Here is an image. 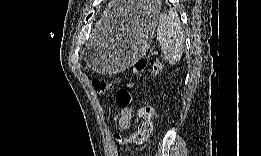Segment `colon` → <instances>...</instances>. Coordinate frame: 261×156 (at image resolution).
<instances>
[{"mask_svg": "<svg viewBox=\"0 0 261 156\" xmlns=\"http://www.w3.org/2000/svg\"><path fill=\"white\" fill-rule=\"evenodd\" d=\"M148 69L152 77L157 76L161 71V64L158 61L149 62L141 60L136 65V72H143ZM92 85L99 94L107 92H115L116 103L121 108H127L132 102L131 90L136 87L134 81H130L126 86L117 88L113 82H108L102 79L93 80ZM140 124L137 131L128 137L115 135V140L122 146L142 145L144 144L152 132V116L153 110L150 106L143 105L138 109Z\"/></svg>", "mask_w": 261, "mask_h": 156, "instance_id": "obj_1", "label": "colon"}]
</instances>
